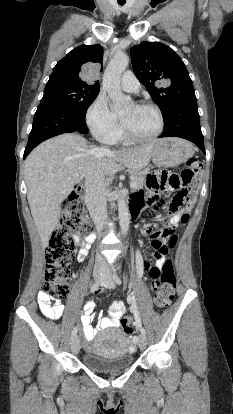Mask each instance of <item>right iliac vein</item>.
<instances>
[{
	"mask_svg": "<svg viewBox=\"0 0 233 414\" xmlns=\"http://www.w3.org/2000/svg\"><path fill=\"white\" fill-rule=\"evenodd\" d=\"M95 281H99L103 276V271L101 269H97L93 273ZM71 350L73 353H78L80 350V342L77 336L72 337L71 339Z\"/></svg>",
	"mask_w": 233,
	"mask_h": 414,
	"instance_id": "1",
	"label": "right iliac vein"
}]
</instances>
